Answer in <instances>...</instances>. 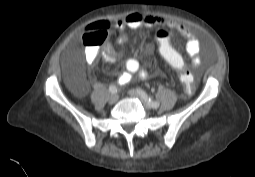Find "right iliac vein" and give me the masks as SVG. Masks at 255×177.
Listing matches in <instances>:
<instances>
[{"label": "right iliac vein", "mask_w": 255, "mask_h": 177, "mask_svg": "<svg viewBox=\"0 0 255 177\" xmlns=\"http://www.w3.org/2000/svg\"><path fill=\"white\" fill-rule=\"evenodd\" d=\"M119 99V96L117 94H111L108 98L109 104H115Z\"/></svg>", "instance_id": "63e3f726"}]
</instances>
